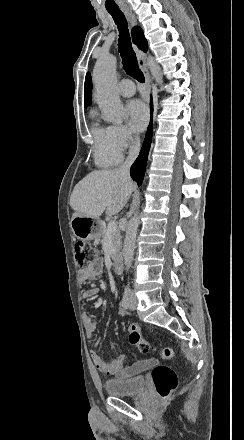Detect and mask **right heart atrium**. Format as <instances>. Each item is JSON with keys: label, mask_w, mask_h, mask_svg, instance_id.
Instances as JSON below:
<instances>
[{"label": "right heart atrium", "mask_w": 244, "mask_h": 440, "mask_svg": "<svg viewBox=\"0 0 244 440\" xmlns=\"http://www.w3.org/2000/svg\"><path fill=\"white\" fill-rule=\"evenodd\" d=\"M108 137L104 150L109 152H121L128 148L135 139L134 132L125 125L113 124L107 127Z\"/></svg>", "instance_id": "obj_1"}]
</instances>
